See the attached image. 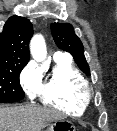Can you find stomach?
<instances>
[{
	"instance_id": "stomach-1",
	"label": "stomach",
	"mask_w": 117,
	"mask_h": 131,
	"mask_svg": "<svg viewBox=\"0 0 117 131\" xmlns=\"http://www.w3.org/2000/svg\"><path fill=\"white\" fill-rule=\"evenodd\" d=\"M75 126L72 122L61 119L54 121L46 131H75Z\"/></svg>"
}]
</instances>
